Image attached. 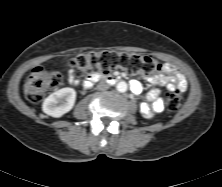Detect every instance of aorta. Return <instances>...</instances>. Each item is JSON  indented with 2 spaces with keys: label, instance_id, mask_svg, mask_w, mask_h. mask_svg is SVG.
<instances>
[{
  "label": "aorta",
  "instance_id": "762f6f07",
  "mask_svg": "<svg viewBox=\"0 0 222 187\" xmlns=\"http://www.w3.org/2000/svg\"><path fill=\"white\" fill-rule=\"evenodd\" d=\"M119 92H125L127 90V83L125 81H121L116 86Z\"/></svg>",
  "mask_w": 222,
  "mask_h": 187
}]
</instances>
